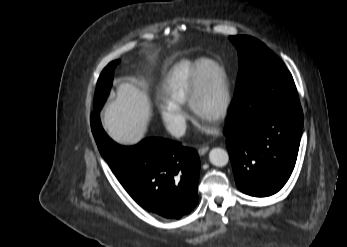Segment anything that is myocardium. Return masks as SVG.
<instances>
[{"label": "myocardium", "mask_w": 347, "mask_h": 247, "mask_svg": "<svg viewBox=\"0 0 347 247\" xmlns=\"http://www.w3.org/2000/svg\"><path fill=\"white\" fill-rule=\"evenodd\" d=\"M205 66H210L217 73L221 89L220 105L215 114L209 119V121L211 122L218 123L227 116L231 106L232 96L230 90V82L225 69L217 62L206 60ZM203 68L204 67H200L196 71L190 86L188 97V103L192 113L200 119H203L200 112L201 95L203 91Z\"/></svg>", "instance_id": "f54148a6"}]
</instances>
